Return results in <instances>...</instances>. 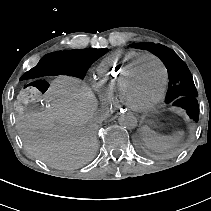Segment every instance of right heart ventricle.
<instances>
[{"label":"right heart ventricle","mask_w":211,"mask_h":211,"mask_svg":"<svg viewBox=\"0 0 211 211\" xmlns=\"http://www.w3.org/2000/svg\"><path fill=\"white\" fill-rule=\"evenodd\" d=\"M145 55L147 54H135L132 50L118 51L106 57L99 66L95 67L93 78L104 104L111 106L119 102L125 76Z\"/></svg>","instance_id":"e07e8e85"}]
</instances>
